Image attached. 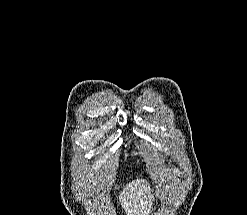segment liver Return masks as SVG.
<instances>
[{"instance_id": "liver-1", "label": "liver", "mask_w": 247, "mask_h": 215, "mask_svg": "<svg viewBox=\"0 0 247 215\" xmlns=\"http://www.w3.org/2000/svg\"><path fill=\"white\" fill-rule=\"evenodd\" d=\"M144 180L136 179L123 188L119 201L127 215H149L151 212V189Z\"/></svg>"}]
</instances>
